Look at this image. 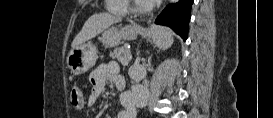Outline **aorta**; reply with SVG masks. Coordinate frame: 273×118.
I'll return each mask as SVG.
<instances>
[{"label": "aorta", "mask_w": 273, "mask_h": 118, "mask_svg": "<svg viewBox=\"0 0 273 118\" xmlns=\"http://www.w3.org/2000/svg\"><path fill=\"white\" fill-rule=\"evenodd\" d=\"M170 2L174 3V2H177V0H171Z\"/></svg>", "instance_id": "1"}]
</instances>
